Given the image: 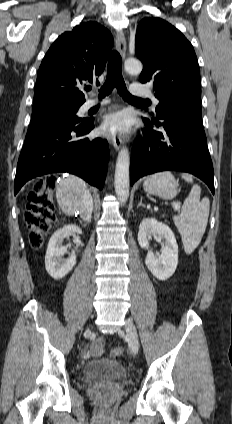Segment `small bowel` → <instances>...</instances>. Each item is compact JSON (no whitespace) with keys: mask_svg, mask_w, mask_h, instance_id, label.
Masks as SVG:
<instances>
[{"mask_svg":"<svg viewBox=\"0 0 232 424\" xmlns=\"http://www.w3.org/2000/svg\"><path fill=\"white\" fill-rule=\"evenodd\" d=\"M104 351V339L97 338L89 348L88 355L98 356Z\"/></svg>","mask_w":232,"mask_h":424,"instance_id":"obj_1","label":"small bowel"}]
</instances>
